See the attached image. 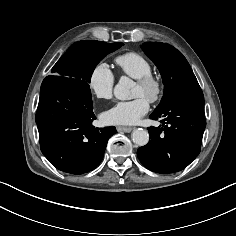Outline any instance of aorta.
Masks as SVG:
<instances>
[{
	"label": "aorta",
	"instance_id": "762f6f07",
	"mask_svg": "<svg viewBox=\"0 0 236 236\" xmlns=\"http://www.w3.org/2000/svg\"><path fill=\"white\" fill-rule=\"evenodd\" d=\"M134 82L128 77H121L114 87V96L119 100H131L134 98L132 88ZM133 141L139 146H145L149 142V134L142 128L135 129L132 132Z\"/></svg>",
	"mask_w": 236,
	"mask_h": 236
}]
</instances>
